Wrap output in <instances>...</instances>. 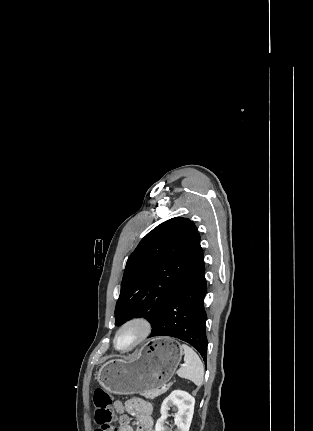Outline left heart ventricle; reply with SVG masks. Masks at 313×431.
Returning <instances> with one entry per match:
<instances>
[{
	"label": "left heart ventricle",
	"mask_w": 313,
	"mask_h": 431,
	"mask_svg": "<svg viewBox=\"0 0 313 431\" xmlns=\"http://www.w3.org/2000/svg\"><path fill=\"white\" fill-rule=\"evenodd\" d=\"M141 328L137 325H131L121 331L117 339V345L120 348L131 346L140 336Z\"/></svg>",
	"instance_id": "left-heart-ventricle-1"
}]
</instances>
